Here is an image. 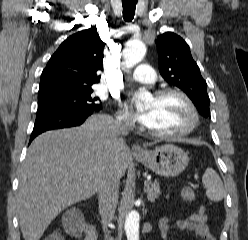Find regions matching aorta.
<instances>
[{
	"instance_id": "1",
	"label": "aorta",
	"mask_w": 248,
	"mask_h": 240,
	"mask_svg": "<svg viewBox=\"0 0 248 240\" xmlns=\"http://www.w3.org/2000/svg\"><path fill=\"white\" fill-rule=\"evenodd\" d=\"M145 54L146 46L144 43L138 40L129 42L123 50L125 65L128 68L135 66L144 58ZM149 96V93L145 91L135 94L138 104ZM139 219V214L136 211H131L126 216L124 227L127 240H139Z\"/></svg>"
}]
</instances>
